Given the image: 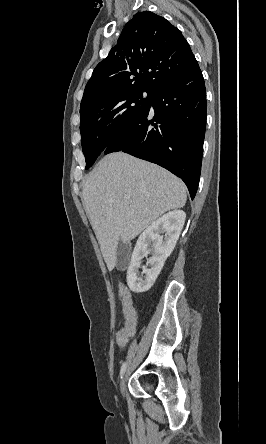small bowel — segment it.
<instances>
[{
	"label": "small bowel",
	"mask_w": 266,
	"mask_h": 444,
	"mask_svg": "<svg viewBox=\"0 0 266 444\" xmlns=\"http://www.w3.org/2000/svg\"><path fill=\"white\" fill-rule=\"evenodd\" d=\"M118 297L121 301L124 324L117 332L116 341L119 346H124L136 333L138 314L133 303L131 292L123 284H119L118 286Z\"/></svg>",
	"instance_id": "small-bowel-1"
}]
</instances>
